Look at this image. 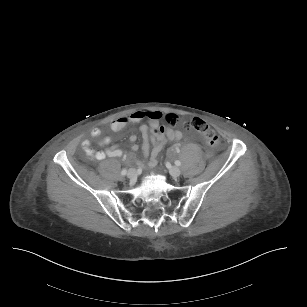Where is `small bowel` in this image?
Segmentation results:
<instances>
[{
  "mask_svg": "<svg viewBox=\"0 0 307 307\" xmlns=\"http://www.w3.org/2000/svg\"><path fill=\"white\" fill-rule=\"evenodd\" d=\"M162 114L159 111H134L125 116H121L115 119L111 123V129L113 131H121L130 124L140 123L143 120H148L147 124H142L140 127V132L142 134V144L141 149L145 155V159L138 161L135 154L129 153L125 155V159L128 161H135L141 167H154L157 164V159L160 152L163 150L165 145L169 142L178 141L183 138V133L178 130H174L172 134L165 135L162 139H155L151 135V128L155 124H159ZM91 136L93 138H99L101 136V130L94 128L91 131ZM110 137H103L99 140V144L102 146L108 145L110 143ZM136 135L130 137L131 149L136 151L139 146L135 143ZM82 149L85 151L87 156L91 159L103 160L106 157H121L123 156L122 150L118 146H112L105 150H94L91 148L90 141L85 140L81 144Z\"/></svg>",
  "mask_w": 307,
  "mask_h": 307,
  "instance_id": "c3829d8e",
  "label": "small bowel"
}]
</instances>
